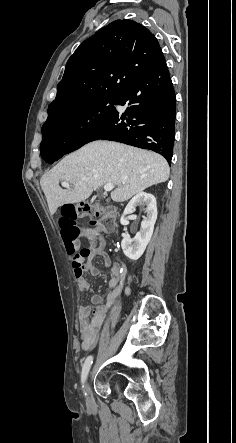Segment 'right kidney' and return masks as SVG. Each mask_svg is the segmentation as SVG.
I'll use <instances>...</instances> for the list:
<instances>
[{"instance_id":"right-kidney-1","label":"right kidney","mask_w":236,"mask_h":443,"mask_svg":"<svg viewBox=\"0 0 236 443\" xmlns=\"http://www.w3.org/2000/svg\"><path fill=\"white\" fill-rule=\"evenodd\" d=\"M137 206L146 207V217L141 222V229L134 238L126 236L121 242L123 253L131 260H138L144 253L154 230V224L157 219L156 199L152 194L140 192L134 196L127 204L120 223L128 225L129 221L125 218L127 214L135 212Z\"/></svg>"}]
</instances>
